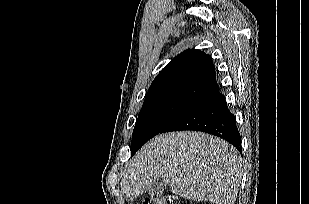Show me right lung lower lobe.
Instances as JSON below:
<instances>
[{
    "mask_svg": "<svg viewBox=\"0 0 309 204\" xmlns=\"http://www.w3.org/2000/svg\"><path fill=\"white\" fill-rule=\"evenodd\" d=\"M181 130H195L218 136L242 152L235 116L228 110L225 97L221 93L195 105L161 133Z\"/></svg>",
    "mask_w": 309,
    "mask_h": 204,
    "instance_id": "98d812e1",
    "label": "right lung lower lobe"
}]
</instances>
